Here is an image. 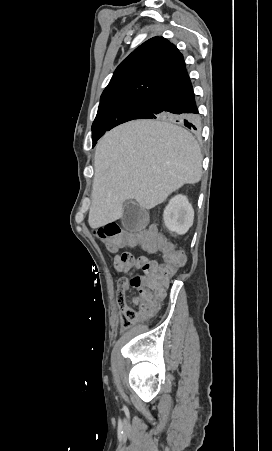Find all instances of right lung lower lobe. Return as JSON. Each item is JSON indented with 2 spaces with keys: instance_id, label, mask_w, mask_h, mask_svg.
Wrapping results in <instances>:
<instances>
[{
  "instance_id": "obj_1",
  "label": "right lung lower lobe",
  "mask_w": 272,
  "mask_h": 451,
  "mask_svg": "<svg viewBox=\"0 0 272 451\" xmlns=\"http://www.w3.org/2000/svg\"><path fill=\"white\" fill-rule=\"evenodd\" d=\"M197 114L193 87L184 68L151 95L147 109L136 119L174 120L196 130Z\"/></svg>"
}]
</instances>
